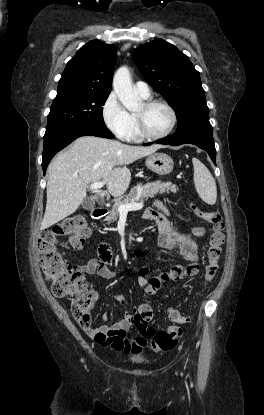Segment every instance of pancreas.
I'll return each mask as SVG.
<instances>
[{
	"label": "pancreas",
	"instance_id": "cf45deb5",
	"mask_svg": "<svg viewBox=\"0 0 264 415\" xmlns=\"http://www.w3.org/2000/svg\"><path fill=\"white\" fill-rule=\"evenodd\" d=\"M178 188L170 182H151L144 185H138L131 189L129 194L121 201L116 202L110 210L106 221L114 222L119 217L118 207L122 204L137 202L140 199L142 202L148 198H153L156 194H163L165 192L176 193Z\"/></svg>",
	"mask_w": 264,
	"mask_h": 415
}]
</instances>
